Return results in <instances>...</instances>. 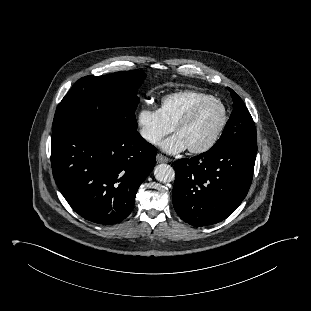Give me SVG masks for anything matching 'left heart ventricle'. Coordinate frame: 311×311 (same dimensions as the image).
Instances as JSON below:
<instances>
[{
  "mask_svg": "<svg viewBox=\"0 0 311 311\" xmlns=\"http://www.w3.org/2000/svg\"><path fill=\"white\" fill-rule=\"evenodd\" d=\"M222 116V109L218 103L211 102L205 105L192 119L181 128L177 134L190 147H199L206 143L216 130Z\"/></svg>",
  "mask_w": 311,
  "mask_h": 311,
  "instance_id": "obj_1",
  "label": "left heart ventricle"
}]
</instances>
